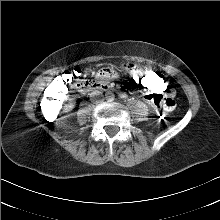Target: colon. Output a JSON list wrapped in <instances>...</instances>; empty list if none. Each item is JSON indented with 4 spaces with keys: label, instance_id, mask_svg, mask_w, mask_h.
Listing matches in <instances>:
<instances>
[{
    "label": "colon",
    "instance_id": "1",
    "mask_svg": "<svg viewBox=\"0 0 220 220\" xmlns=\"http://www.w3.org/2000/svg\"><path fill=\"white\" fill-rule=\"evenodd\" d=\"M125 69L129 71V79L137 88H146L150 92H157L149 95V101L153 103L156 109V117L160 121H167L171 117V110L175 106L173 94H163L170 87L169 78L158 73L154 69H145L142 66L127 65ZM117 71V70H116ZM82 69L75 68L71 71L64 72L61 76L54 80L51 85V94L44 100V112L56 111L61 104L60 96L64 94L66 83L80 77ZM118 75V72H117ZM98 77V76H97ZM94 87V86H92Z\"/></svg>",
    "mask_w": 220,
    "mask_h": 220
}]
</instances>
